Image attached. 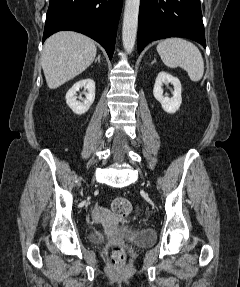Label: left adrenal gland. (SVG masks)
Returning a JSON list of instances; mask_svg holds the SVG:
<instances>
[{
	"label": "left adrenal gland",
	"instance_id": "left-adrenal-gland-1",
	"mask_svg": "<svg viewBox=\"0 0 240 287\" xmlns=\"http://www.w3.org/2000/svg\"><path fill=\"white\" fill-rule=\"evenodd\" d=\"M155 62H156V59L154 58V60H153L152 64H154Z\"/></svg>",
	"mask_w": 240,
	"mask_h": 287
}]
</instances>
